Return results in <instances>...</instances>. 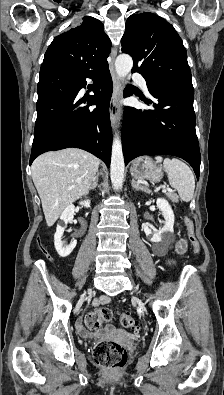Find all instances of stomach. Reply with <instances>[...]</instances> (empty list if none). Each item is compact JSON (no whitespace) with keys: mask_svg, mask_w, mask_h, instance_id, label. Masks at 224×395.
Returning a JSON list of instances; mask_svg holds the SVG:
<instances>
[{"mask_svg":"<svg viewBox=\"0 0 224 395\" xmlns=\"http://www.w3.org/2000/svg\"><path fill=\"white\" fill-rule=\"evenodd\" d=\"M131 175L138 180L158 182L163 177L162 167L149 157L136 159L130 168Z\"/></svg>","mask_w":224,"mask_h":395,"instance_id":"stomach-1","label":"stomach"}]
</instances>
